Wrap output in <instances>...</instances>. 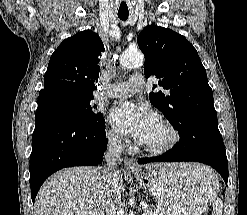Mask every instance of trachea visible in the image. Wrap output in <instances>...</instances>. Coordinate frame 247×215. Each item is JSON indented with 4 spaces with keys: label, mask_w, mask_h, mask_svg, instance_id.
<instances>
[{
    "label": "trachea",
    "mask_w": 247,
    "mask_h": 215,
    "mask_svg": "<svg viewBox=\"0 0 247 215\" xmlns=\"http://www.w3.org/2000/svg\"><path fill=\"white\" fill-rule=\"evenodd\" d=\"M129 16V13H118V17L121 19V20H126Z\"/></svg>",
    "instance_id": "1"
}]
</instances>
